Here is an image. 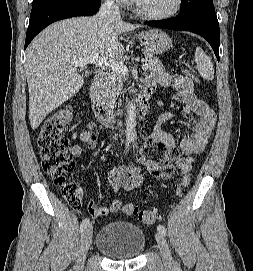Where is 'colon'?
Returning <instances> with one entry per match:
<instances>
[{"label": "colon", "instance_id": "5ec220e1", "mask_svg": "<svg viewBox=\"0 0 253 271\" xmlns=\"http://www.w3.org/2000/svg\"><path fill=\"white\" fill-rule=\"evenodd\" d=\"M188 76L192 74L186 70ZM73 119L71 107H64L54 112L42 125L37 137V146L42 161L43 171L52 177L55 185L63 190L65 200L71 206H78L82 199V190L70 181L75 168V161L68 152L66 132ZM190 183V175L185 174L179 184L178 193H181ZM112 212L122 210L125 214L136 216L144 224H154L158 219L155 210L141 209L135 204H122L119 200L112 201Z\"/></svg>", "mask_w": 253, "mask_h": 271}]
</instances>
